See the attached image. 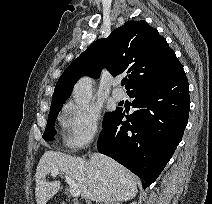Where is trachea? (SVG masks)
Returning a JSON list of instances; mask_svg holds the SVG:
<instances>
[{
	"instance_id": "trachea-1",
	"label": "trachea",
	"mask_w": 212,
	"mask_h": 204,
	"mask_svg": "<svg viewBox=\"0 0 212 204\" xmlns=\"http://www.w3.org/2000/svg\"><path fill=\"white\" fill-rule=\"evenodd\" d=\"M125 83H126V80L123 79V80L121 81V85L124 86Z\"/></svg>"
}]
</instances>
